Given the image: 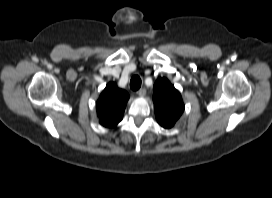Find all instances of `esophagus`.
<instances>
[{
    "mask_svg": "<svg viewBox=\"0 0 272 198\" xmlns=\"http://www.w3.org/2000/svg\"><path fill=\"white\" fill-rule=\"evenodd\" d=\"M137 95L139 97H144L146 95V90L144 88H141L140 90L137 91Z\"/></svg>",
    "mask_w": 272,
    "mask_h": 198,
    "instance_id": "1",
    "label": "esophagus"
}]
</instances>
